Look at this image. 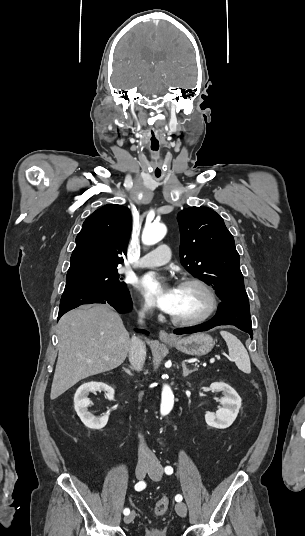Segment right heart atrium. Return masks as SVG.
<instances>
[{
    "instance_id": "d8ad5b80",
    "label": "right heart atrium",
    "mask_w": 305,
    "mask_h": 536,
    "mask_svg": "<svg viewBox=\"0 0 305 536\" xmlns=\"http://www.w3.org/2000/svg\"><path fill=\"white\" fill-rule=\"evenodd\" d=\"M151 311H152V305L149 302H145L144 304H142L140 308V313L142 315L149 314L151 313Z\"/></svg>"
}]
</instances>
